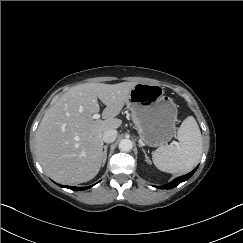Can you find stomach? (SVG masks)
Listing matches in <instances>:
<instances>
[{"label":"stomach","instance_id":"1","mask_svg":"<svg viewBox=\"0 0 243 243\" xmlns=\"http://www.w3.org/2000/svg\"><path fill=\"white\" fill-rule=\"evenodd\" d=\"M126 105L140 139L147 146H163L175 136L178 110L160 85L136 83Z\"/></svg>","mask_w":243,"mask_h":243}]
</instances>
